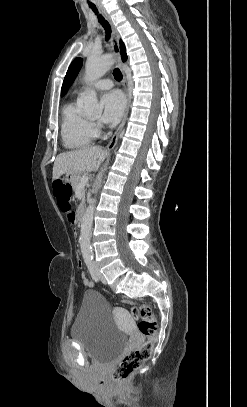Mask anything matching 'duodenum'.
<instances>
[{
  "label": "duodenum",
  "mask_w": 247,
  "mask_h": 407,
  "mask_svg": "<svg viewBox=\"0 0 247 407\" xmlns=\"http://www.w3.org/2000/svg\"><path fill=\"white\" fill-rule=\"evenodd\" d=\"M84 215H85V209L82 207V208H80V209L78 210V213H77V221H78L79 223L82 222V220H83V218H84Z\"/></svg>",
  "instance_id": "duodenum-1"
}]
</instances>
